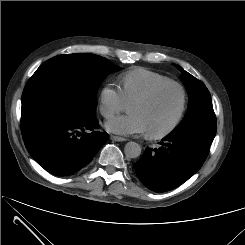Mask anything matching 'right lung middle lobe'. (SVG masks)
I'll return each mask as SVG.
<instances>
[{
  "instance_id": "dd1d6c3e",
  "label": "right lung middle lobe",
  "mask_w": 245,
  "mask_h": 245,
  "mask_svg": "<svg viewBox=\"0 0 245 245\" xmlns=\"http://www.w3.org/2000/svg\"><path fill=\"white\" fill-rule=\"evenodd\" d=\"M46 62L63 72V78L27 82L22 94V125L54 115L93 117L102 79L120 69L106 58L87 53L59 55Z\"/></svg>"
}]
</instances>
